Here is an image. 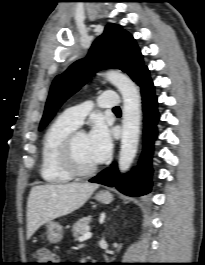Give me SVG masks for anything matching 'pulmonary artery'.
Returning <instances> with one entry per match:
<instances>
[{
    "label": "pulmonary artery",
    "mask_w": 205,
    "mask_h": 265,
    "mask_svg": "<svg viewBox=\"0 0 205 265\" xmlns=\"http://www.w3.org/2000/svg\"><path fill=\"white\" fill-rule=\"evenodd\" d=\"M97 104L101 108L113 109L120 105V98L114 91H105L98 97ZM91 107L90 103L76 105L66 109L63 116L78 127L82 124Z\"/></svg>",
    "instance_id": "e3ab8cb5"
}]
</instances>
